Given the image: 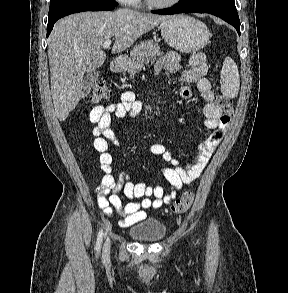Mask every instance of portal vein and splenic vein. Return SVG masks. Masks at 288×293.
I'll use <instances>...</instances> for the list:
<instances>
[{
	"label": "portal vein and splenic vein",
	"mask_w": 288,
	"mask_h": 293,
	"mask_svg": "<svg viewBox=\"0 0 288 293\" xmlns=\"http://www.w3.org/2000/svg\"><path fill=\"white\" fill-rule=\"evenodd\" d=\"M112 41L110 39L106 40L103 45H102V48L103 49H108L111 45Z\"/></svg>",
	"instance_id": "portal-vein-and-splenic-vein-1"
}]
</instances>
